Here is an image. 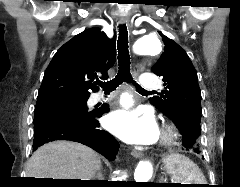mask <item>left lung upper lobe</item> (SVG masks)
<instances>
[{
	"label": "left lung upper lobe",
	"mask_w": 240,
	"mask_h": 187,
	"mask_svg": "<svg viewBox=\"0 0 240 187\" xmlns=\"http://www.w3.org/2000/svg\"><path fill=\"white\" fill-rule=\"evenodd\" d=\"M159 34L165 48L151 70L163 77L166 90L160 96L150 98V101L179 129L192 130L198 139L202 109L197 72L185 50L161 32Z\"/></svg>",
	"instance_id": "5c2ea615"
}]
</instances>
